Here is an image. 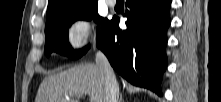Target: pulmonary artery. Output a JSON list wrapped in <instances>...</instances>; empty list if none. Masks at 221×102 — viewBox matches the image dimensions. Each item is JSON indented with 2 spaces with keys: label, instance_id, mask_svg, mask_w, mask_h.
Returning <instances> with one entry per match:
<instances>
[{
  "label": "pulmonary artery",
  "instance_id": "obj_1",
  "mask_svg": "<svg viewBox=\"0 0 221 102\" xmlns=\"http://www.w3.org/2000/svg\"><path fill=\"white\" fill-rule=\"evenodd\" d=\"M107 5L110 7H114L116 4V0H106Z\"/></svg>",
  "mask_w": 221,
  "mask_h": 102
}]
</instances>
